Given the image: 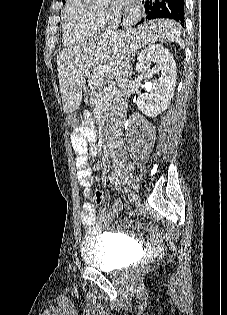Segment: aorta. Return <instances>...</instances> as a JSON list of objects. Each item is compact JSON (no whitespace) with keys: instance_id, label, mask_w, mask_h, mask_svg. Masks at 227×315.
Segmentation results:
<instances>
[{"instance_id":"aorta-1","label":"aorta","mask_w":227,"mask_h":315,"mask_svg":"<svg viewBox=\"0 0 227 315\" xmlns=\"http://www.w3.org/2000/svg\"><path fill=\"white\" fill-rule=\"evenodd\" d=\"M85 2L88 4L101 5V4H105L107 0H85Z\"/></svg>"}]
</instances>
